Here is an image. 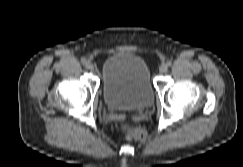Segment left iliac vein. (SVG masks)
Listing matches in <instances>:
<instances>
[{
	"label": "left iliac vein",
	"instance_id": "4c4485c4",
	"mask_svg": "<svg viewBox=\"0 0 243 167\" xmlns=\"http://www.w3.org/2000/svg\"><path fill=\"white\" fill-rule=\"evenodd\" d=\"M166 71H167V65H165V64L160 65L159 72L165 73Z\"/></svg>",
	"mask_w": 243,
	"mask_h": 167
}]
</instances>
